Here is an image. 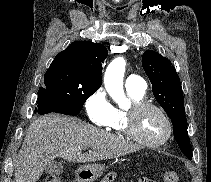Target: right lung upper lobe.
<instances>
[{
    "mask_svg": "<svg viewBox=\"0 0 211 182\" xmlns=\"http://www.w3.org/2000/svg\"><path fill=\"white\" fill-rule=\"evenodd\" d=\"M107 56V48L100 43L75 41L56 55L49 69L64 70L81 80L101 86L102 63Z\"/></svg>",
    "mask_w": 211,
    "mask_h": 182,
    "instance_id": "1",
    "label": "right lung upper lobe"
}]
</instances>
